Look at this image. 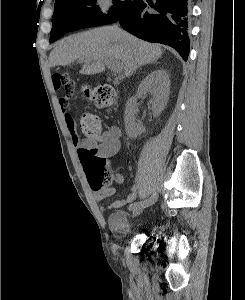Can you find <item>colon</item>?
Wrapping results in <instances>:
<instances>
[{
	"label": "colon",
	"mask_w": 245,
	"mask_h": 300,
	"mask_svg": "<svg viewBox=\"0 0 245 300\" xmlns=\"http://www.w3.org/2000/svg\"><path fill=\"white\" fill-rule=\"evenodd\" d=\"M55 89L64 88L67 94H72L75 88L74 80L68 73H56L52 76ZM82 92L99 107H110L115 100L114 89L110 85H100L90 89L84 85ZM79 125L84 138L93 143L91 148H82L79 157L92 189L100 190L109 183L112 177L107 169V159L97 153L96 145L101 133L99 118L88 111L79 114Z\"/></svg>",
	"instance_id": "5ec220e1"
}]
</instances>
